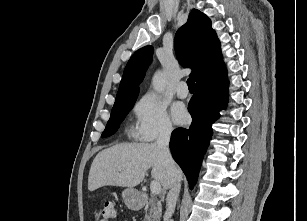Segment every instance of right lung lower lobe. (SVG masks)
<instances>
[{
  "label": "right lung lower lobe",
  "instance_id": "right-lung-lower-lobe-1",
  "mask_svg": "<svg viewBox=\"0 0 307 221\" xmlns=\"http://www.w3.org/2000/svg\"><path fill=\"white\" fill-rule=\"evenodd\" d=\"M226 79L204 88H196L188 110L192 116L189 128H177L170 140L175 161L185 173L192 189L197 181L203 156L212 136L211 125L219 118V111L227 105Z\"/></svg>",
  "mask_w": 307,
  "mask_h": 221
}]
</instances>
